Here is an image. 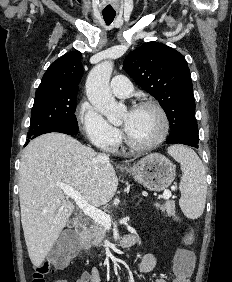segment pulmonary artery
<instances>
[{
	"instance_id": "pulmonary-artery-1",
	"label": "pulmonary artery",
	"mask_w": 232,
	"mask_h": 282,
	"mask_svg": "<svg viewBox=\"0 0 232 282\" xmlns=\"http://www.w3.org/2000/svg\"><path fill=\"white\" fill-rule=\"evenodd\" d=\"M112 93L118 98L129 97L132 92L131 82L124 75L115 76L110 83Z\"/></svg>"
}]
</instances>
